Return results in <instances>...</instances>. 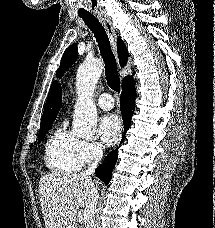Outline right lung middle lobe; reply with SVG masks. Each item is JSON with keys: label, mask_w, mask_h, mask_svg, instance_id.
<instances>
[{"label": "right lung middle lobe", "mask_w": 215, "mask_h": 228, "mask_svg": "<svg viewBox=\"0 0 215 228\" xmlns=\"http://www.w3.org/2000/svg\"><path fill=\"white\" fill-rule=\"evenodd\" d=\"M51 126H52V122L40 124V131H39V135H38V143H40L44 139L46 133L49 131Z\"/></svg>", "instance_id": "obj_1"}]
</instances>
